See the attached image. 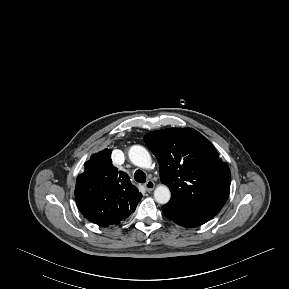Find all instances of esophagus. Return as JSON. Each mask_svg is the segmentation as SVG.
Instances as JSON below:
<instances>
[{
  "mask_svg": "<svg viewBox=\"0 0 289 289\" xmlns=\"http://www.w3.org/2000/svg\"><path fill=\"white\" fill-rule=\"evenodd\" d=\"M145 188L148 192H150L155 188V183L152 180H149L145 183Z\"/></svg>",
  "mask_w": 289,
  "mask_h": 289,
  "instance_id": "1",
  "label": "esophagus"
}]
</instances>
